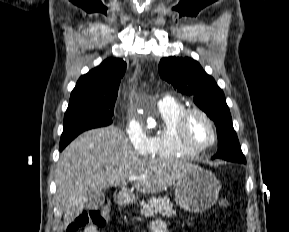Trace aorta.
Wrapping results in <instances>:
<instances>
[{"mask_svg":"<svg viewBox=\"0 0 289 232\" xmlns=\"http://www.w3.org/2000/svg\"><path fill=\"white\" fill-rule=\"evenodd\" d=\"M151 125H152V126H155V122H152Z\"/></svg>","mask_w":289,"mask_h":232,"instance_id":"obj_1","label":"aorta"}]
</instances>
